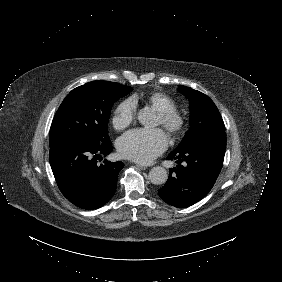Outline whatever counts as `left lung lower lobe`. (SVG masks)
<instances>
[{"label": "left lung lower lobe", "mask_w": 282, "mask_h": 282, "mask_svg": "<svg viewBox=\"0 0 282 282\" xmlns=\"http://www.w3.org/2000/svg\"><path fill=\"white\" fill-rule=\"evenodd\" d=\"M225 149L226 133H221L197 138L185 148L172 151L167 159H177L178 165L169 170L166 184L158 190L162 200L185 208L204 198L221 171Z\"/></svg>", "instance_id": "1"}]
</instances>
